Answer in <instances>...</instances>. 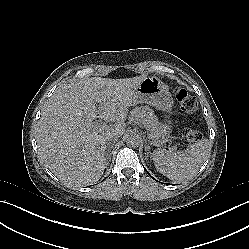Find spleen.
<instances>
[{
    "label": "spleen",
    "mask_w": 249,
    "mask_h": 249,
    "mask_svg": "<svg viewBox=\"0 0 249 249\" xmlns=\"http://www.w3.org/2000/svg\"><path fill=\"white\" fill-rule=\"evenodd\" d=\"M211 143L204 139L187 147L180 153L174 151L155 150L152 159L158 171L171 180H181L185 172H196L208 159Z\"/></svg>",
    "instance_id": "3e777b00"
}]
</instances>
